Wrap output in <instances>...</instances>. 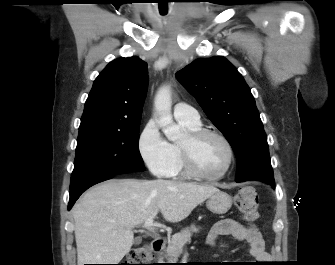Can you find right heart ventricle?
Segmentation results:
<instances>
[{
    "label": "right heart ventricle",
    "mask_w": 335,
    "mask_h": 265,
    "mask_svg": "<svg viewBox=\"0 0 335 265\" xmlns=\"http://www.w3.org/2000/svg\"><path fill=\"white\" fill-rule=\"evenodd\" d=\"M179 123L184 126L185 128H187L189 131H194V130H198L201 129V124H190L184 121H179ZM173 152H174V163L173 166L170 170V172L166 175L167 177L170 178H189L190 175L186 172V170L184 169L183 166V162H182V157H181V152H180V148H179V144L178 143H173L171 144Z\"/></svg>",
    "instance_id": "obj_1"
}]
</instances>
